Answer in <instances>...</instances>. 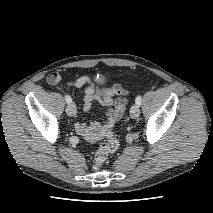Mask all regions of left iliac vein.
Masks as SVG:
<instances>
[{"label":"left iliac vein","mask_w":213,"mask_h":213,"mask_svg":"<svg viewBox=\"0 0 213 213\" xmlns=\"http://www.w3.org/2000/svg\"><path fill=\"white\" fill-rule=\"evenodd\" d=\"M139 115H140L139 106L137 104L132 105L130 108V116L135 119L138 118Z\"/></svg>","instance_id":"left-iliac-vein-1"}]
</instances>
